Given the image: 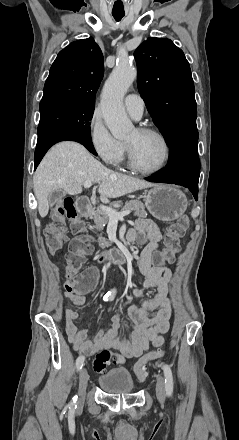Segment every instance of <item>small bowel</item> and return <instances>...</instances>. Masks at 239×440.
<instances>
[{
	"mask_svg": "<svg viewBox=\"0 0 239 440\" xmlns=\"http://www.w3.org/2000/svg\"><path fill=\"white\" fill-rule=\"evenodd\" d=\"M127 238L130 242L146 244L140 259L139 268L144 277L143 288H156L153 297L144 300L141 304H133L128 309V318L131 321V330L128 335L120 330V315L111 317V327L108 330L99 331L93 340L88 339V331L79 329L77 320L79 312L76 308L85 303L84 294L88 292L95 282L87 285L83 290H78L72 279L67 277L65 282V298L73 306V309L64 311L66 333L79 353L90 356L103 350L114 352V363L121 366L128 358H138L152 344L159 347L164 343L163 334L170 328L172 310L170 304L172 271L163 265L153 262L154 255L158 252L162 234L156 223L148 218H140L131 229ZM86 272H93L97 276L95 268H88ZM141 288L134 289V295H142ZM155 315L150 313L155 311Z\"/></svg>",
	"mask_w": 239,
	"mask_h": 440,
	"instance_id": "obj_1",
	"label": "small bowel"
}]
</instances>
